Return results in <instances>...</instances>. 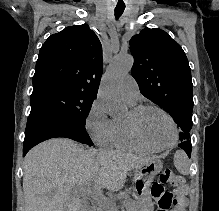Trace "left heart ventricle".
<instances>
[{
    "mask_svg": "<svg viewBox=\"0 0 219 211\" xmlns=\"http://www.w3.org/2000/svg\"><path fill=\"white\" fill-rule=\"evenodd\" d=\"M138 123L143 135L153 145L162 147L173 142L174 132L171 122L160 111L145 110L139 116Z\"/></svg>",
    "mask_w": 219,
    "mask_h": 211,
    "instance_id": "b2bd125f",
    "label": "left heart ventricle"
}]
</instances>
